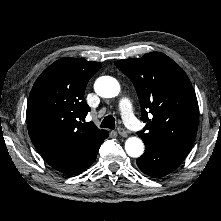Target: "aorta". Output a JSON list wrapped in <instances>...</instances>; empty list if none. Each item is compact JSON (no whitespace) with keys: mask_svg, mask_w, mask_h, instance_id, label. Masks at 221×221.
Here are the masks:
<instances>
[{"mask_svg":"<svg viewBox=\"0 0 221 221\" xmlns=\"http://www.w3.org/2000/svg\"><path fill=\"white\" fill-rule=\"evenodd\" d=\"M95 92L104 98H113L120 93V85L118 81L110 76H102L98 78L94 85ZM126 153L130 157L138 158L144 152V144L137 137H130L125 142Z\"/></svg>","mask_w":221,"mask_h":221,"instance_id":"obj_1","label":"aorta"}]
</instances>
